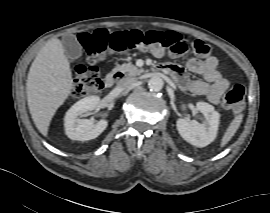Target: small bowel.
I'll list each match as a JSON object with an SVG mask.
<instances>
[{"label":"small bowel","mask_w":270,"mask_h":213,"mask_svg":"<svg viewBox=\"0 0 270 213\" xmlns=\"http://www.w3.org/2000/svg\"><path fill=\"white\" fill-rule=\"evenodd\" d=\"M217 65V57L208 48V52L203 55L202 59L193 58L186 64V69L201 76L202 80L182 82L183 69L175 64L161 63L158 68L172 74L179 81L181 87L206 96L209 102L216 105L230 87V82L217 70Z\"/></svg>","instance_id":"small-bowel-1"}]
</instances>
